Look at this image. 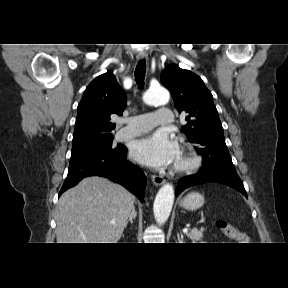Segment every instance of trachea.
<instances>
[{"label": "trachea", "instance_id": "3493384b", "mask_svg": "<svg viewBox=\"0 0 288 288\" xmlns=\"http://www.w3.org/2000/svg\"><path fill=\"white\" fill-rule=\"evenodd\" d=\"M146 73V61L140 60L135 69V80L140 89L144 87V78Z\"/></svg>", "mask_w": 288, "mask_h": 288}]
</instances>
